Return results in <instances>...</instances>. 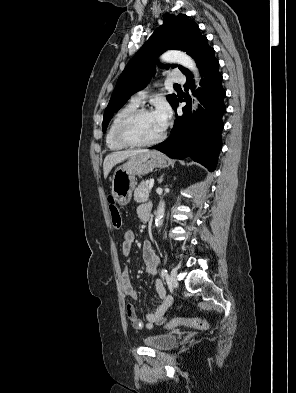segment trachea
<instances>
[{"instance_id":"trachea-1","label":"trachea","mask_w":296,"mask_h":393,"mask_svg":"<svg viewBox=\"0 0 296 393\" xmlns=\"http://www.w3.org/2000/svg\"><path fill=\"white\" fill-rule=\"evenodd\" d=\"M174 86H175V87H180V85H178V84H175Z\"/></svg>"}]
</instances>
